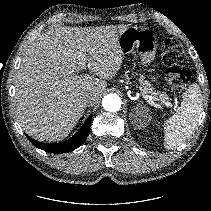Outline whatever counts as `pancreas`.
Here are the masks:
<instances>
[{"label": "pancreas", "mask_w": 211, "mask_h": 211, "mask_svg": "<svg viewBox=\"0 0 211 211\" xmlns=\"http://www.w3.org/2000/svg\"><path fill=\"white\" fill-rule=\"evenodd\" d=\"M142 83H143V85H142L141 88H142L143 93L151 94L153 98L158 97V99H159L160 101H163V102L169 100V97L167 96L166 93L159 94L158 92H155V91L151 88V86H150V84H149L148 82L145 81V82H142Z\"/></svg>", "instance_id": "obj_1"}]
</instances>
